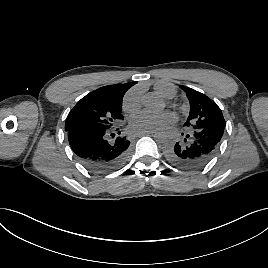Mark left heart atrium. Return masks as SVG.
I'll list each match as a JSON object with an SVG mask.
<instances>
[{"instance_id":"obj_1","label":"left heart atrium","mask_w":268,"mask_h":268,"mask_svg":"<svg viewBox=\"0 0 268 268\" xmlns=\"http://www.w3.org/2000/svg\"><path fill=\"white\" fill-rule=\"evenodd\" d=\"M176 121V117L173 113L166 111L162 113L157 119L158 122L162 126L171 125ZM150 120L145 113L134 114L130 118V126L134 130H146L149 127Z\"/></svg>"}]
</instances>
